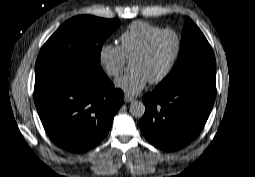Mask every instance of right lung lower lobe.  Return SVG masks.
<instances>
[{"instance_id":"98d812e1","label":"right lung lower lobe","mask_w":255,"mask_h":177,"mask_svg":"<svg viewBox=\"0 0 255 177\" xmlns=\"http://www.w3.org/2000/svg\"><path fill=\"white\" fill-rule=\"evenodd\" d=\"M124 100L104 72L64 69L35 75L34 101L49 137L61 148L84 152L109 132Z\"/></svg>"}]
</instances>
